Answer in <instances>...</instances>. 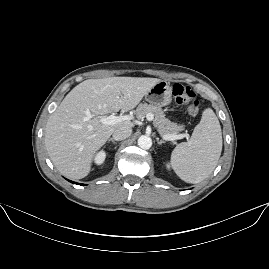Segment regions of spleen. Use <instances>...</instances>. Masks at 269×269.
Instances as JSON below:
<instances>
[{
  "label": "spleen",
  "instance_id": "1",
  "mask_svg": "<svg viewBox=\"0 0 269 269\" xmlns=\"http://www.w3.org/2000/svg\"><path fill=\"white\" fill-rule=\"evenodd\" d=\"M221 151V126L214 111L207 109L191 138L172 151L170 165L181 180L196 184L213 172Z\"/></svg>",
  "mask_w": 269,
  "mask_h": 269
}]
</instances>
